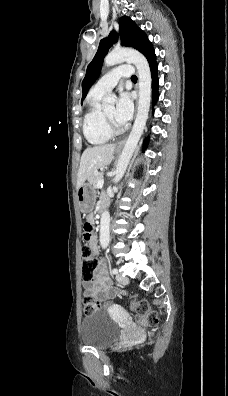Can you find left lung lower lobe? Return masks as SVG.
Here are the masks:
<instances>
[{"label": "left lung lower lobe", "mask_w": 228, "mask_h": 396, "mask_svg": "<svg viewBox=\"0 0 228 396\" xmlns=\"http://www.w3.org/2000/svg\"><path fill=\"white\" fill-rule=\"evenodd\" d=\"M144 56L147 58L151 69L152 90H153L152 97H153V104H155L159 97L158 94L159 82L157 77L158 64L156 62V55L152 44L149 45L146 52L144 53ZM147 144H148V138L144 140L143 147L145 148Z\"/></svg>", "instance_id": "left-lung-lower-lobe-1"}]
</instances>
